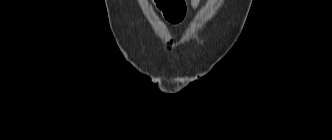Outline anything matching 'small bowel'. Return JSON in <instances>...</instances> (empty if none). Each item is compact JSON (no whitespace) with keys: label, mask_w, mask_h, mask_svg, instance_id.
<instances>
[{"label":"small bowel","mask_w":332,"mask_h":140,"mask_svg":"<svg viewBox=\"0 0 332 140\" xmlns=\"http://www.w3.org/2000/svg\"><path fill=\"white\" fill-rule=\"evenodd\" d=\"M199 2H200V0H190V10L192 12H195L197 10ZM183 17L178 20H169V21L172 23H179L183 19Z\"/></svg>","instance_id":"c3829d8e"}]
</instances>
